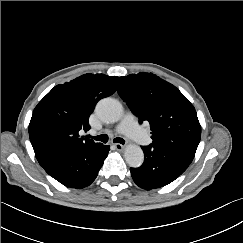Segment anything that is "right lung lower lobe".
Instances as JSON below:
<instances>
[{"label":"right lung lower lobe","mask_w":243,"mask_h":243,"mask_svg":"<svg viewBox=\"0 0 243 243\" xmlns=\"http://www.w3.org/2000/svg\"><path fill=\"white\" fill-rule=\"evenodd\" d=\"M109 150L108 145L97 144L84 150L56 152L38 162L61 184L80 189L95 180Z\"/></svg>","instance_id":"98d812e1"}]
</instances>
